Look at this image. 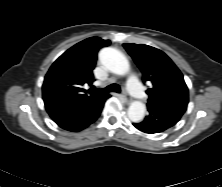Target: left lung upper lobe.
Masks as SVG:
<instances>
[{"label": "left lung upper lobe", "instance_id": "1", "mask_svg": "<svg viewBox=\"0 0 222 187\" xmlns=\"http://www.w3.org/2000/svg\"><path fill=\"white\" fill-rule=\"evenodd\" d=\"M142 72L148 104L178 102L188 104V87L173 61L161 50L144 44H123Z\"/></svg>", "mask_w": 222, "mask_h": 187}]
</instances>
